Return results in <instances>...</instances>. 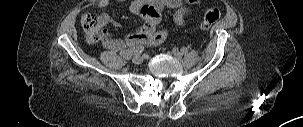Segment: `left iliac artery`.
<instances>
[{"mask_svg": "<svg viewBox=\"0 0 303 127\" xmlns=\"http://www.w3.org/2000/svg\"><path fill=\"white\" fill-rule=\"evenodd\" d=\"M181 53H182V54H186V53H187V49H186L185 47H182V48H181Z\"/></svg>", "mask_w": 303, "mask_h": 127, "instance_id": "1", "label": "left iliac artery"}]
</instances>
